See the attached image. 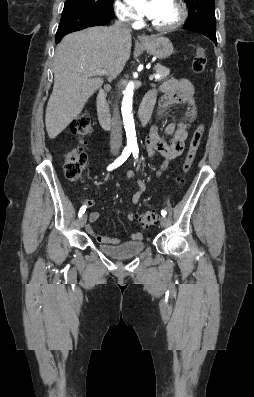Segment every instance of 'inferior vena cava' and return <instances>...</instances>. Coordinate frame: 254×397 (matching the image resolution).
Instances as JSON below:
<instances>
[{
	"label": "inferior vena cava",
	"mask_w": 254,
	"mask_h": 397,
	"mask_svg": "<svg viewBox=\"0 0 254 397\" xmlns=\"http://www.w3.org/2000/svg\"><path fill=\"white\" fill-rule=\"evenodd\" d=\"M130 30L128 22L123 17H119V19L115 21L113 31L116 38L120 40L130 38ZM110 146L114 149H119L122 146V127L117 101L113 108Z\"/></svg>",
	"instance_id": "inferior-vena-cava-1"
}]
</instances>
